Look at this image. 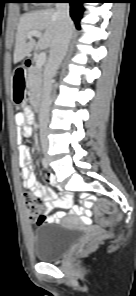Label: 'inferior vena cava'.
<instances>
[{"label":"inferior vena cava","instance_id":"602c4592","mask_svg":"<svg viewBox=\"0 0 136 296\" xmlns=\"http://www.w3.org/2000/svg\"><path fill=\"white\" fill-rule=\"evenodd\" d=\"M56 13L60 27L56 43L51 49L44 68L43 91L39 110L40 138L43 147L48 146L47 131L50 119L51 91L53 77L56 75L69 46L72 34V20L69 15V3H56Z\"/></svg>","mask_w":136,"mask_h":296}]
</instances>
